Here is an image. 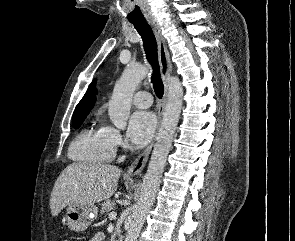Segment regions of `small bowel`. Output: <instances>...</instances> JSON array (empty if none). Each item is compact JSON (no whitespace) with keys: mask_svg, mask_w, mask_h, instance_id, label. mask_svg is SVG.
<instances>
[{"mask_svg":"<svg viewBox=\"0 0 295 241\" xmlns=\"http://www.w3.org/2000/svg\"><path fill=\"white\" fill-rule=\"evenodd\" d=\"M104 234L102 232H96L90 241H103Z\"/></svg>","mask_w":295,"mask_h":241,"instance_id":"1","label":"small bowel"}]
</instances>
